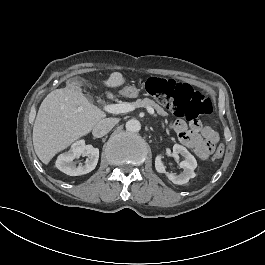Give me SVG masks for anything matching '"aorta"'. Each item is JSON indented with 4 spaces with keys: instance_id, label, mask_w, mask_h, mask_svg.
Here are the masks:
<instances>
[{
    "instance_id": "1",
    "label": "aorta",
    "mask_w": 265,
    "mask_h": 265,
    "mask_svg": "<svg viewBox=\"0 0 265 265\" xmlns=\"http://www.w3.org/2000/svg\"><path fill=\"white\" fill-rule=\"evenodd\" d=\"M125 127L127 131L135 133L141 129V124L136 119H130L126 122Z\"/></svg>"
}]
</instances>
